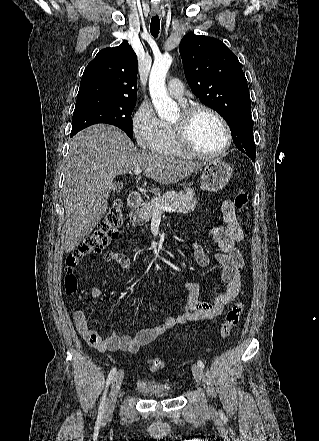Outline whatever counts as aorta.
I'll list each match as a JSON object with an SVG mask.
<instances>
[{"mask_svg":"<svg viewBox=\"0 0 319 441\" xmlns=\"http://www.w3.org/2000/svg\"><path fill=\"white\" fill-rule=\"evenodd\" d=\"M171 64L172 57L168 54L156 58L149 78V90L153 105L159 117L164 120L173 118L178 108L176 102L168 96L165 86L166 74Z\"/></svg>","mask_w":319,"mask_h":441,"instance_id":"obj_1","label":"aorta"}]
</instances>
